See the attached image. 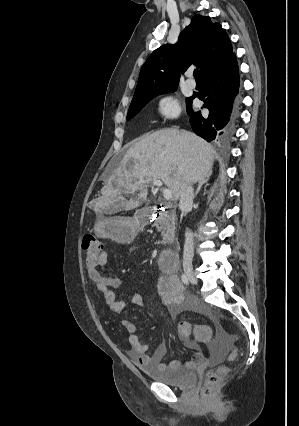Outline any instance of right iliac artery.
<instances>
[{
    "instance_id": "1",
    "label": "right iliac artery",
    "mask_w": 299,
    "mask_h": 426,
    "mask_svg": "<svg viewBox=\"0 0 299 426\" xmlns=\"http://www.w3.org/2000/svg\"><path fill=\"white\" fill-rule=\"evenodd\" d=\"M181 280H182V282H183L185 285H188V284H189L188 278H187V276H186L185 274H182V275H181Z\"/></svg>"
}]
</instances>
